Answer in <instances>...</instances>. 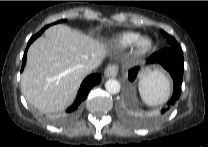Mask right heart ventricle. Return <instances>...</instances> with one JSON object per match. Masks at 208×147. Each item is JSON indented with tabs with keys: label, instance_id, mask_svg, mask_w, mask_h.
Here are the masks:
<instances>
[{
	"label": "right heart ventricle",
	"instance_id": "right-heart-ventricle-1",
	"mask_svg": "<svg viewBox=\"0 0 208 147\" xmlns=\"http://www.w3.org/2000/svg\"><path fill=\"white\" fill-rule=\"evenodd\" d=\"M140 36V33L136 31H123L112 36L110 44L115 48L125 50L132 47Z\"/></svg>",
	"mask_w": 208,
	"mask_h": 147
}]
</instances>
